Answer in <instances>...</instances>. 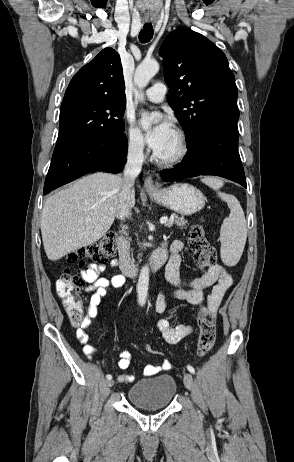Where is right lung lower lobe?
Returning <instances> with one entry per match:
<instances>
[{"mask_svg":"<svg viewBox=\"0 0 294 462\" xmlns=\"http://www.w3.org/2000/svg\"><path fill=\"white\" fill-rule=\"evenodd\" d=\"M123 133L73 137L56 144L44 184V195L87 173H119L127 154Z\"/></svg>","mask_w":294,"mask_h":462,"instance_id":"1","label":"right lung lower lobe"}]
</instances>
